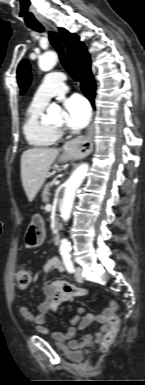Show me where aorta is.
Segmentation results:
<instances>
[{
	"instance_id": "obj_1",
	"label": "aorta",
	"mask_w": 145,
	"mask_h": 385,
	"mask_svg": "<svg viewBox=\"0 0 145 385\" xmlns=\"http://www.w3.org/2000/svg\"><path fill=\"white\" fill-rule=\"evenodd\" d=\"M57 63V55L54 52H46L39 59V67L42 71L51 70ZM60 108L56 105H51L47 109V113L49 116H52L55 113H59ZM89 165L86 163L81 164L78 168L73 172L71 177L66 182L65 191L63 195L62 205L60 208V213L63 221L67 222L70 219L71 210L73 207L76 190L82 184L88 172ZM61 251H69L70 243L67 239L61 240L60 245Z\"/></svg>"
}]
</instances>
